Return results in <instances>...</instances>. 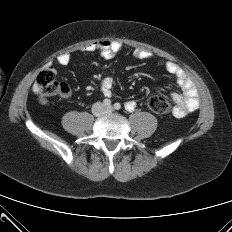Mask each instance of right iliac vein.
Instances as JSON below:
<instances>
[{"label":"right iliac vein","mask_w":232,"mask_h":232,"mask_svg":"<svg viewBox=\"0 0 232 232\" xmlns=\"http://www.w3.org/2000/svg\"><path fill=\"white\" fill-rule=\"evenodd\" d=\"M101 110H102L101 105H98V106H97V109H96V112H100Z\"/></svg>","instance_id":"obj_1"}]
</instances>
